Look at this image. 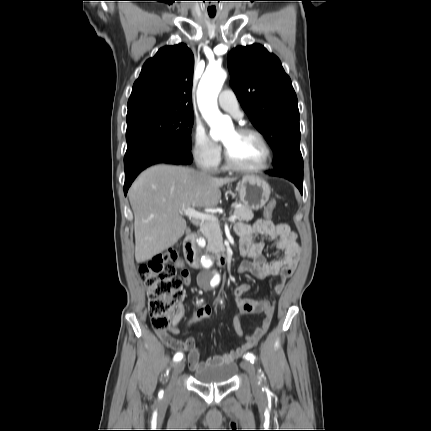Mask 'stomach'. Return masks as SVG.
I'll return each mask as SVG.
<instances>
[{
  "label": "stomach",
  "mask_w": 431,
  "mask_h": 431,
  "mask_svg": "<svg viewBox=\"0 0 431 431\" xmlns=\"http://www.w3.org/2000/svg\"><path fill=\"white\" fill-rule=\"evenodd\" d=\"M242 204L252 210H259L268 202L271 193L269 184L256 176H245L236 185Z\"/></svg>",
  "instance_id": "obj_1"
}]
</instances>
